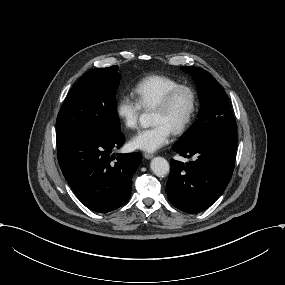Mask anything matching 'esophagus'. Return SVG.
<instances>
[{
    "label": "esophagus",
    "mask_w": 285,
    "mask_h": 285,
    "mask_svg": "<svg viewBox=\"0 0 285 285\" xmlns=\"http://www.w3.org/2000/svg\"><path fill=\"white\" fill-rule=\"evenodd\" d=\"M144 157H145L146 159H151V158L154 157V155H153V154H149V153H145V154H144Z\"/></svg>",
    "instance_id": "obj_1"
}]
</instances>
